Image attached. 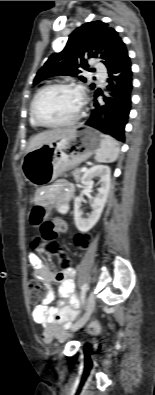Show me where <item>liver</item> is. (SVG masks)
I'll list each match as a JSON object with an SVG mask.
<instances>
[{
  "label": "liver",
  "instance_id": "liver-1",
  "mask_svg": "<svg viewBox=\"0 0 155 395\" xmlns=\"http://www.w3.org/2000/svg\"><path fill=\"white\" fill-rule=\"evenodd\" d=\"M59 132H61V131L51 130V131H45V132L35 135L34 137H32L30 139L27 150L30 151V150H33V149L41 146L42 144L51 142L57 136V134Z\"/></svg>",
  "mask_w": 155,
  "mask_h": 395
}]
</instances>
